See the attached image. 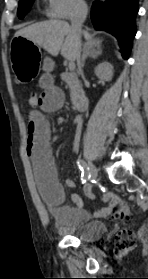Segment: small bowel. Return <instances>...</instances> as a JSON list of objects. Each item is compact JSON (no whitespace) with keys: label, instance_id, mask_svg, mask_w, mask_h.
Masks as SVG:
<instances>
[{"label":"small bowel","instance_id":"1","mask_svg":"<svg viewBox=\"0 0 148 279\" xmlns=\"http://www.w3.org/2000/svg\"><path fill=\"white\" fill-rule=\"evenodd\" d=\"M43 88L35 109L30 113L28 124L27 153L32 162L38 189L43 200L50 206L57 220L62 223L76 225L94 217H104L111 213L112 208L119 203L113 193H106L103 200L107 206L93 214L83 208L80 195L72 194L73 207L61 206L64 200V190L57 178V170L51 151L52 132L45 114L56 112L64 104V94L53 81L51 74H44L41 78ZM67 187H75L71 179L65 180ZM89 193V191H88Z\"/></svg>","mask_w":148,"mask_h":279}]
</instances>
